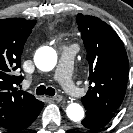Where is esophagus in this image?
Here are the masks:
<instances>
[{"label":"esophagus","mask_w":133,"mask_h":133,"mask_svg":"<svg viewBox=\"0 0 133 133\" xmlns=\"http://www.w3.org/2000/svg\"><path fill=\"white\" fill-rule=\"evenodd\" d=\"M53 100L57 101V102H60L63 98L61 95H55L52 97Z\"/></svg>","instance_id":"1"}]
</instances>
